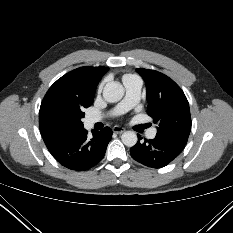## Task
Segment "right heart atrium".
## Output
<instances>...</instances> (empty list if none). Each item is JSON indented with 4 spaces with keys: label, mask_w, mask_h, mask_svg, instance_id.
Listing matches in <instances>:
<instances>
[{
    "label": "right heart atrium",
    "mask_w": 233,
    "mask_h": 233,
    "mask_svg": "<svg viewBox=\"0 0 233 233\" xmlns=\"http://www.w3.org/2000/svg\"><path fill=\"white\" fill-rule=\"evenodd\" d=\"M101 88H102V86L100 85V86H99V90H100Z\"/></svg>",
    "instance_id": "obj_1"
}]
</instances>
